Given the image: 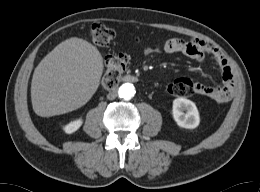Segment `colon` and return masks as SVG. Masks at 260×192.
<instances>
[{
	"label": "colon",
	"instance_id": "colon-1",
	"mask_svg": "<svg viewBox=\"0 0 260 192\" xmlns=\"http://www.w3.org/2000/svg\"><path fill=\"white\" fill-rule=\"evenodd\" d=\"M93 43L98 47H107L114 38V31L102 23H94L90 29ZM128 63V56L118 54L111 56L106 62V73L102 80L105 90L115 87L119 81L122 71ZM195 83L188 78L174 80L168 87L169 92L175 96H189L195 93Z\"/></svg>",
	"mask_w": 260,
	"mask_h": 192
}]
</instances>
